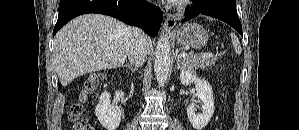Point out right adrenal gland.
Here are the masks:
<instances>
[{"instance_id": "obj_1", "label": "right adrenal gland", "mask_w": 299, "mask_h": 130, "mask_svg": "<svg viewBox=\"0 0 299 130\" xmlns=\"http://www.w3.org/2000/svg\"><path fill=\"white\" fill-rule=\"evenodd\" d=\"M123 67H128V69L131 70L132 72H135L136 70H138V68L136 66L133 67L131 64L123 65Z\"/></svg>"}]
</instances>
